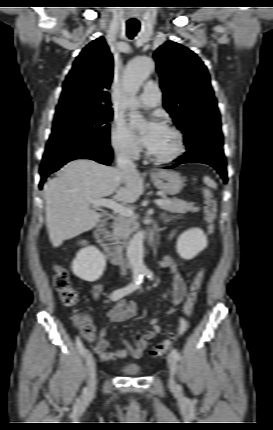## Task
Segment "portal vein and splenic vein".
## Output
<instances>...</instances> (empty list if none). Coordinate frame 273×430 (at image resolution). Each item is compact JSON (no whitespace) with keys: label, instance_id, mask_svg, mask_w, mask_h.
I'll list each match as a JSON object with an SVG mask.
<instances>
[{"label":"portal vein and splenic vein","instance_id":"18ae733b","mask_svg":"<svg viewBox=\"0 0 273 430\" xmlns=\"http://www.w3.org/2000/svg\"><path fill=\"white\" fill-rule=\"evenodd\" d=\"M90 204H92L94 207H107L112 209L114 212L122 215V216H133L134 210L132 208H126L123 205L115 202L111 199H91L89 200ZM155 203L159 206H164L166 204H169L168 201L164 199H156Z\"/></svg>","mask_w":273,"mask_h":430}]
</instances>
